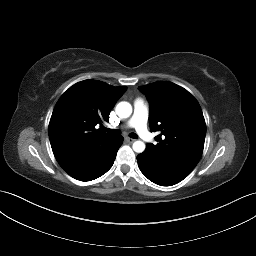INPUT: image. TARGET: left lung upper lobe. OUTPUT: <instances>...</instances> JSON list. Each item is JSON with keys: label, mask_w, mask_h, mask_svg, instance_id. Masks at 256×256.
<instances>
[{"label": "left lung upper lobe", "mask_w": 256, "mask_h": 256, "mask_svg": "<svg viewBox=\"0 0 256 256\" xmlns=\"http://www.w3.org/2000/svg\"><path fill=\"white\" fill-rule=\"evenodd\" d=\"M150 103L149 123L158 144H147L152 157L170 167L190 173L199 162L206 124L197 100L184 88L171 82L140 86Z\"/></svg>", "instance_id": "1"}]
</instances>
